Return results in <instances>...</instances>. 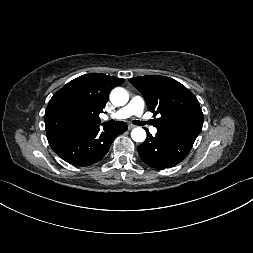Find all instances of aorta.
Wrapping results in <instances>:
<instances>
[{
	"mask_svg": "<svg viewBox=\"0 0 253 253\" xmlns=\"http://www.w3.org/2000/svg\"><path fill=\"white\" fill-rule=\"evenodd\" d=\"M110 100L115 106H123L129 100V95L124 88L116 87L111 91ZM131 137L135 142H144L146 139V132L141 127H136L131 132Z\"/></svg>",
	"mask_w": 253,
	"mask_h": 253,
	"instance_id": "obj_1",
	"label": "aorta"
}]
</instances>
